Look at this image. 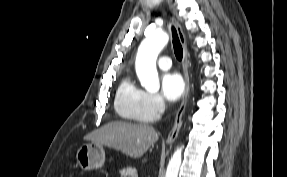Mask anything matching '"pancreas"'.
Instances as JSON below:
<instances>
[{"label":"pancreas","mask_w":287,"mask_h":177,"mask_svg":"<svg viewBox=\"0 0 287 177\" xmlns=\"http://www.w3.org/2000/svg\"><path fill=\"white\" fill-rule=\"evenodd\" d=\"M121 177H138L137 171L135 168H126L120 171Z\"/></svg>","instance_id":"obj_1"}]
</instances>
